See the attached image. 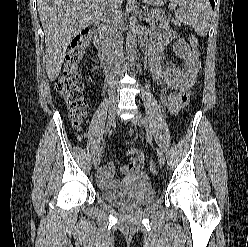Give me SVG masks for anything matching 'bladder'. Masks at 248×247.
I'll list each match as a JSON object with an SVG mask.
<instances>
[{"label":"bladder","instance_id":"obj_1","mask_svg":"<svg viewBox=\"0 0 248 247\" xmlns=\"http://www.w3.org/2000/svg\"><path fill=\"white\" fill-rule=\"evenodd\" d=\"M156 190L147 173L134 171L127 183L124 192L101 191V196L109 203L130 208L149 204L154 197Z\"/></svg>","mask_w":248,"mask_h":247}]
</instances>
